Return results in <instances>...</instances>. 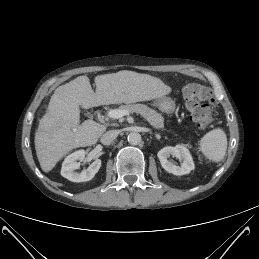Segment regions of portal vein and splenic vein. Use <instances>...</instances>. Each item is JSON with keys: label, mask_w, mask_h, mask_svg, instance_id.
I'll list each match as a JSON object with an SVG mask.
<instances>
[{"label": "portal vein and splenic vein", "mask_w": 259, "mask_h": 259, "mask_svg": "<svg viewBox=\"0 0 259 259\" xmlns=\"http://www.w3.org/2000/svg\"><path fill=\"white\" fill-rule=\"evenodd\" d=\"M107 115L110 118L119 119L125 115H129V111L120 110V109H113L107 112Z\"/></svg>", "instance_id": "portal-vein-and-splenic-vein-1"}]
</instances>
